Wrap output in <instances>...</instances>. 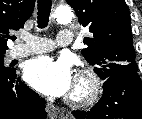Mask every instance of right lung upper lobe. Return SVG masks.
I'll return each mask as SVG.
<instances>
[{"mask_svg":"<svg viewBox=\"0 0 142 119\" xmlns=\"http://www.w3.org/2000/svg\"><path fill=\"white\" fill-rule=\"evenodd\" d=\"M35 0H0V53L6 52L9 31L23 28L32 15Z\"/></svg>","mask_w":142,"mask_h":119,"instance_id":"obj_1","label":"right lung upper lobe"}]
</instances>
